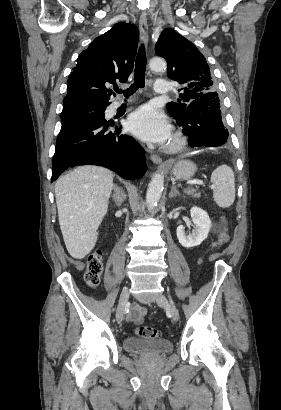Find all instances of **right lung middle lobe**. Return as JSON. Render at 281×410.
Returning <instances> with one entry per match:
<instances>
[{
	"mask_svg": "<svg viewBox=\"0 0 281 410\" xmlns=\"http://www.w3.org/2000/svg\"><path fill=\"white\" fill-rule=\"evenodd\" d=\"M105 106L73 105L63 107L61 113L62 129L66 131L80 123L90 120H104Z\"/></svg>",
	"mask_w": 281,
	"mask_h": 410,
	"instance_id": "dd1d6c3e",
	"label": "right lung middle lobe"
}]
</instances>
